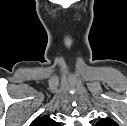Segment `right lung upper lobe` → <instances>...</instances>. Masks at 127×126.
Returning <instances> with one entry per match:
<instances>
[{"label": "right lung upper lobe", "instance_id": "cb5924a9", "mask_svg": "<svg viewBox=\"0 0 127 126\" xmlns=\"http://www.w3.org/2000/svg\"><path fill=\"white\" fill-rule=\"evenodd\" d=\"M30 126H60L57 122L52 120L49 116H42L36 118Z\"/></svg>", "mask_w": 127, "mask_h": 126}]
</instances>
